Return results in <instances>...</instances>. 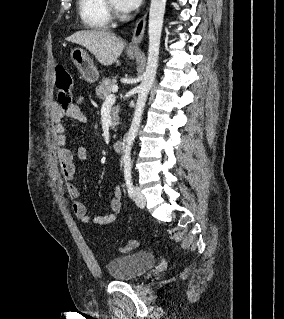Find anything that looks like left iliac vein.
<instances>
[{
	"label": "left iliac vein",
	"mask_w": 284,
	"mask_h": 319,
	"mask_svg": "<svg viewBox=\"0 0 284 319\" xmlns=\"http://www.w3.org/2000/svg\"><path fill=\"white\" fill-rule=\"evenodd\" d=\"M134 201L136 205L140 208H144L146 204L145 197L139 187H135L134 189Z\"/></svg>",
	"instance_id": "obj_1"
}]
</instances>
